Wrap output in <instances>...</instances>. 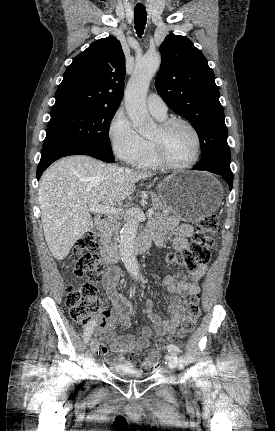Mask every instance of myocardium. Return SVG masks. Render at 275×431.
Masks as SVG:
<instances>
[{"instance_id":"obj_1","label":"myocardium","mask_w":275,"mask_h":431,"mask_svg":"<svg viewBox=\"0 0 275 431\" xmlns=\"http://www.w3.org/2000/svg\"><path fill=\"white\" fill-rule=\"evenodd\" d=\"M176 124H183L189 128L195 138L196 151L193 159L185 164H176L169 160L164 149V138L170 129ZM159 138L151 139L153 154L160 166L168 169H188L193 167L200 159L202 153V141L198 130L187 119L180 117H170L162 120L158 126Z\"/></svg>"}]
</instances>
